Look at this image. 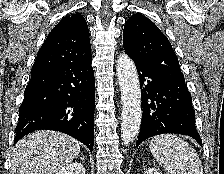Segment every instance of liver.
Returning a JSON list of instances; mask_svg holds the SVG:
<instances>
[{"label":"liver","instance_id":"obj_1","mask_svg":"<svg viewBox=\"0 0 224 174\" xmlns=\"http://www.w3.org/2000/svg\"><path fill=\"white\" fill-rule=\"evenodd\" d=\"M80 153V143L61 132L39 130L12 149L10 174H53Z\"/></svg>","mask_w":224,"mask_h":174}]
</instances>
